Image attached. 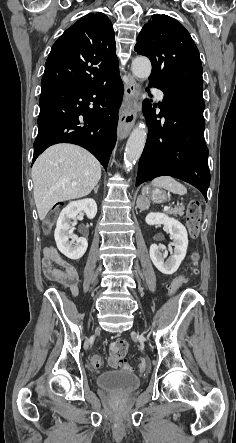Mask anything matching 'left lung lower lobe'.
<instances>
[{
	"mask_svg": "<svg viewBox=\"0 0 236 443\" xmlns=\"http://www.w3.org/2000/svg\"><path fill=\"white\" fill-rule=\"evenodd\" d=\"M150 86L162 90L164 99L162 104L159 103L161 112L158 115L149 100L143 103L150 126L138 165L136 186L168 175L192 184L207 201L210 172L204 140L203 86L179 84L164 87L156 82H150ZM156 117H164L165 123L161 124Z\"/></svg>",
	"mask_w": 236,
	"mask_h": 443,
	"instance_id": "1",
	"label": "left lung lower lobe"
}]
</instances>
